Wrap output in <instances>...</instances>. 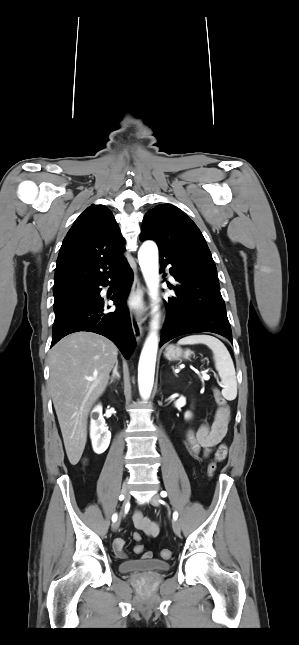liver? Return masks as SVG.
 Here are the masks:
<instances>
[{"label": "liver", "mask_w": 299, "mask_h": 645, "mask_svg": "<svg viewBox=\"0 0 299 645\" xmlns=\"http://www.w3.org/2000/svg\"><path fill=\"white\" fill-rule=\"evenodd\" d=\"M117 355L113 342L92 332L70 334L50 352L49 390L72 465L83 454L90 409L105 391Z\"/></svg>", "instance_id": "1"}]
</instances>
